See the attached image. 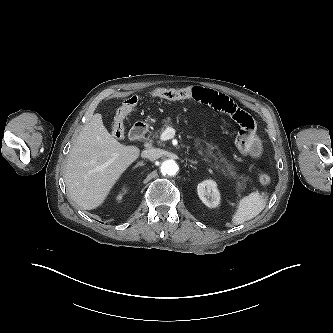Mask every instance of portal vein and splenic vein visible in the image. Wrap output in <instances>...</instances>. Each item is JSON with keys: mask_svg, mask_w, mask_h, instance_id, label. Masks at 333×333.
I'll use <instances>...</instances> for the list:
<instances>
[{"mask_svg": "<svg viewBox=\"0 0 333 333\" xmlns=\"http://www.w3.org/2000/svg\"><path fill=\"white\" fill-rule=\"evenodd\" d=\"M175 132H176V130L174 128L168 127L163 131V133L160 136V139L162 141H167L169 139H172L175 135Z\"/></svg>", "mask_w": 333, "mask_h": 333, "instance_id": "1", "label": "portal vein and splenic vein"}]
</instances>
